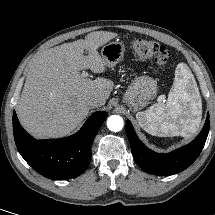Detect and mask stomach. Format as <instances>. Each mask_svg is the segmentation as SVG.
<instances>
[{
  "mask_svg": "<svg viewBox=\"0 0 215 215\" xmlns=\"http://www.w3.org/2000/svg\"><path fill=\"white\" fill-rule=\"evenodd\" d=\"M124 52V44L114 41L103 46L101 56L106 66L114 67L122 60ZM156 94V80L148 75L136 76L128 86L123 101L133 112H136L143 109Z\"/></svg>",
  "mask_w": 215,
  "mask_h": 215,
  "instance_id": "stomach-1",
  "label": "stomach"
}]
</instances>
